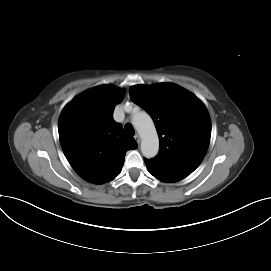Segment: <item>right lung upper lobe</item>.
Segmentation results:
<instances>
[{
    "label": "right lung upper lobe",
    "mask_w": 271,
    "mask_h": 271,
    "mask_svg": "<svg viewBox=\"0 0 271 271\" xmlns=\"http://www.w3.org/2000/svg\"><path fill=\"white\" fill-rule=\"evenodd\" d=\"M124 91L111 85L94 87L74 98L63 109L59 139L63 152L79 176L94 184L114 179L122 170L128 150L136 149L113 118Z\"/></svg>",
    "instance_id": "1"
}]
</instances>
